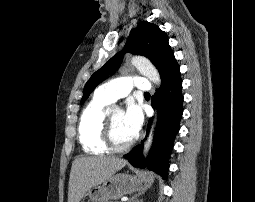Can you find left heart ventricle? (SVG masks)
Wrapping results in <instances>:
<instances>
[{
	"instance_id": "obj_1",
	"label": "left heart ventricle",
	"mask_w": 255,
	"mask_h": 202,
	"mask_svg": "<svg viewBox=\"0 0 255 202\" xmlns=\"http://www.w3.org/2000/svg\"><path fill=\"white\" fill-rule=\"evenodd\" d=\"M111 115L113 124V136L118 144H124L131 140L134 135L129 131L124 122V113L121 111L113 112Z\"/></svg>"
}]
</instances>
